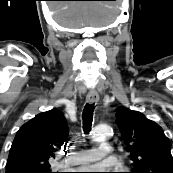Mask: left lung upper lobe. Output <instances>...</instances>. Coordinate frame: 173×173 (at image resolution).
Segmentation results:
<instances>
[{
    "label": "left lung upper lobe",
    "mask_w": 173,
    "mask_h": 173,
    "mask_svg": "<svg viewBox=\"0 0 173 173\" xmlns=\"http://www.w3.org/2000/svg\"><path fill=\"white\" fill-rule=\"evenodd\" d=\"M117 125L133 161L131 173H173L169 139L162 128L142 113L116 109Z\"/></svg>",
    "instance_id": "1"
}]
</instances>
